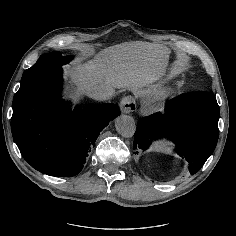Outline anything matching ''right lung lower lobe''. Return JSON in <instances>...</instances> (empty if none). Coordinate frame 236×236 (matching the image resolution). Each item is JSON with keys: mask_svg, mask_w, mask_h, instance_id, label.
I'll return each mask as SVG.
<instances>
[{"mask_svg": "<svg viewBox=\"0 0 236 236\" xmlns=\"http://www.w3.org/2000/svg\"><path fill=\"white\" fill-rule=\"evenodd\" d=\"M62 69L56 67L25 81L13 99L11 130L22 156L41 173L77 175L100 131L120 114L116 104L77 106L60 97Z\"/></svg>", "mask_w": 236, "mask_h": 236, "instance_id": "98d812e1", "label": "right lung lower lobe"}]
</instances>
